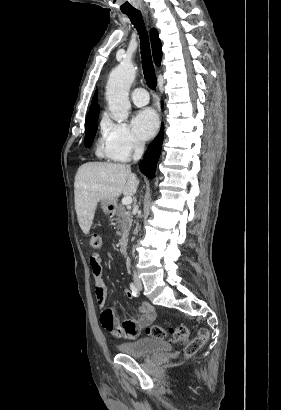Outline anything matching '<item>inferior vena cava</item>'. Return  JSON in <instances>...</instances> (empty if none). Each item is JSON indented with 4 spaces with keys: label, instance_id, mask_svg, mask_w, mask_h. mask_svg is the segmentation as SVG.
Returning <instances> with one entry per match:
<instances>
[{
    "label": "inferior vena cava",
    "instance_id": "inferior-vena-cava-1",
    "mask_svg": "<svg viewBox=\"0 0 281 410\" xmlns=\"http://www.w3.org/2000/svg\"><path fill=\"white\" fill-rule=\"evenodd\" d=\"M144 143L141 141H137L135 144V153L133 155V160L136 162L138 161L141 157L142 154L144 152ZM133 279L134 281H139V277L137 275V273L134 271V275H133Z\"/></svg>",
    "mask_w": 281,
    "mask_h": 410
}]
</instances>
